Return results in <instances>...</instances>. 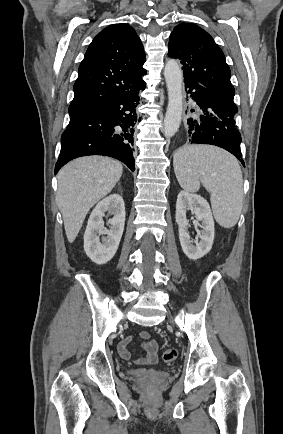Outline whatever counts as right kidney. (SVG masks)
Here are the masks:
<instances>
[{
    "label": "right kidney",
    "mask_w": 283,
    "mask_h": 434,
    "mask_svg": "<svg viewBox=\"0 0 283 434\" xmlns=\"http://www.w3.org/2000/svg\"><path fill=\"white\" fill-rule=\"evenodd\" d=\"M108 212L113 214L109 219V229L104 227L103 217ZM125 224V205L118 194H111L101 200L92 211L84 234V250L96 264L102 265L115 255ZM102 237L101 241L99 236Z\"/></svg>",
    "instance_id": "right-kidney-1"
}]
</instances>
